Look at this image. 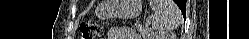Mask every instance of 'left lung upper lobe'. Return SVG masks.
Instances as JSON below:
<instances>
[{
  "label": "left lung upper lobe",
  "instance_id": "obj_1",
  "mask_svg": "<svg viewBox=\"0 0 249 39\" xmlns=\"http://www.w3.org/2000/svg\"><path fill=\"white\" fill-rule=\"evenodd\" d=\"M179 7H182V3H179Z\"/></svg>",
  "mask_w": 249,
  "mask_h": 39
}]
</instances>
